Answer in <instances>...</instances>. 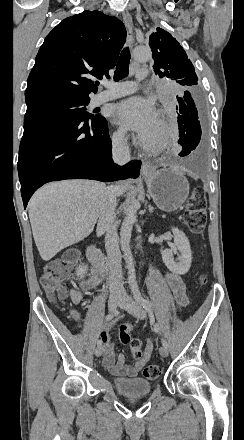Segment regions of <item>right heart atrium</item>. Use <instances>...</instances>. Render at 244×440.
<instances>
[{
	"label": "right heart atrium",
	"instance_id": "d8ad5b80",
	"mask_svg": "<svg viewBox=\"0 0 244 440\" xmlns=\"http://www.w3.org/2000/svg\"><path fill=\"white\" fill-rule=\"evenodd\" d=\"M127 133L123 128H118L117 130L114 131L113 135H112V141L113 144L115 146H122L126 143L127 141ZM150 135H143L142 139H150Z\"/></svg>",
	"mask_w": 244,
	"mask_h": 440
}]
</instances>
